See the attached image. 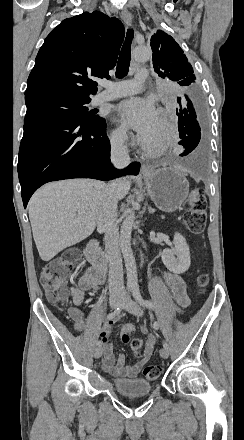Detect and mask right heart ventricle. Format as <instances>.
<instances>
[{"label":"right heart ventricle","mask_w":244,"mask_h":440,"mask_svg":"<svg viewBox=\"0 0 244 440\" xmlns=\"http://www.w3.org/2000/svg\"><path fill=\"white\" fill-rule=\"evenodd\" d=\"M153 127V126H152ZM148 135L152 134V128L147 132Z\"/></svg>","instance_id":"1"}]
</instances>
